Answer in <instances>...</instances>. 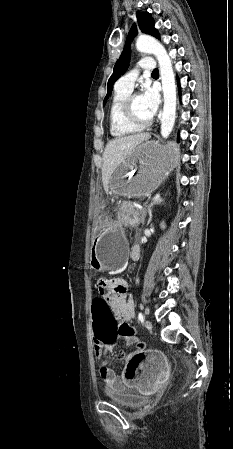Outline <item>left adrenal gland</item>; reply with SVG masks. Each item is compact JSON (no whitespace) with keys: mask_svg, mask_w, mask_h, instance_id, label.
I'll list each match as a JSON object with an SVG mask.
<instances>
[{"mask_svg":"<svg viewBox=\"0 0 233 449\" xmlns=\"http://www.w3.org/2000/svg\"><path fill=\"white\" fill-rule=\"evenodd\" d=\"M162 202H163V199L161 198L160 194H156V195L152 198L151 203H150L148 206L146 205V211H147L148 214H149V219H148L147 225H149L150 222H151V220H152V207H153L154 205L161 204ZM145 214H146V213H145Z\"/></svg>","mask_w":233,"mask_h":449,"instance_id":"left-adrenal-gland-1","label":"left adrenal gland"}]
</instances>
